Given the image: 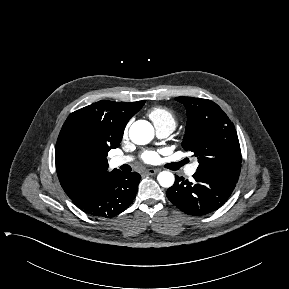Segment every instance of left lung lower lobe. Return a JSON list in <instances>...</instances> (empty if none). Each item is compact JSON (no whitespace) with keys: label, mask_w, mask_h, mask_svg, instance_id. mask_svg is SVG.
<instances>
[{"label":"left lung lower lobe","mask_w":289,"mask_h":289,"mask_svg":"<svg viewBox=\"0 0 289 289\" xmlns=\"http://www.w3.org/2000/svg\"><path fill=\"white\" fill-rule=\"evenodd\" d=\"M192 182L176 176L167 190L168 199L190 215H205L220 208L232 194L236 182L219 175L195 172Z\"/></svg>","instance_id":"0a47b994"}]
</instances>
